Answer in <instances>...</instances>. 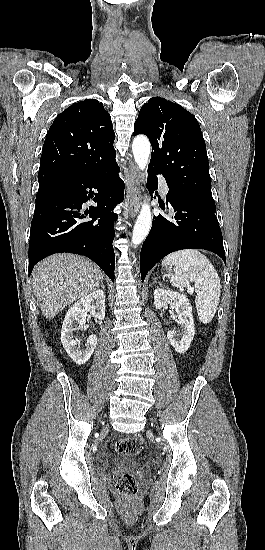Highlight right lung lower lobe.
<instances>
[{"instance_id": "98d812e1", "label": "right lung lower lobe", "mask_w": 265, "mask_h": 550, "mask_svg": "<svg viewBox=\"0 0 265 550\" xmlns=\"http://www.w3.org/2000/svg\"><path fill=\"white\" fill-rule=\"evenodd\" d=\"M118 172L115 161L96 172L65 179L36 197L28 253L29 275L43 258L69 252L90 258L114 281L112 242L118 216L113 208L124 198V183ZM90 198L97 206L84 209L82 204Z\"/></svg>"}]
</instances>
